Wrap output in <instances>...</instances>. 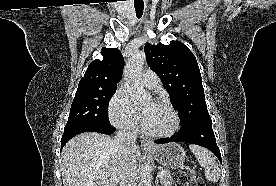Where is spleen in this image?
Instances as JSON below:
<instances>
[{
    "label": "spleen",
    "mask_w": 276,
    "mask_h": 186,
    "mask_svg": "<svg viewBox=\"0 0 276 186\" xmlns=\"http://www.w3.org/2000/svg\"><path fill=\"white\" fill-rule=\"evenodd\" d=\"M189 148L199 164L205 168L206 179L211 182H217L220 178V170L212 154L207 149L197 145H190Z\"/></svg>",
    "instance_id": "3e777b00"
}]
</instances>
